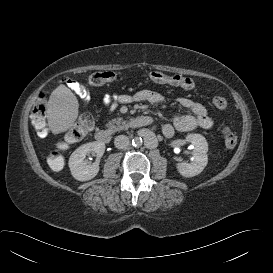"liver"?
<instances>
[{
  "label": "liver",
  "mask_w": 273,
  "mask_h": 273,
  "mask_svg": "<svg viewBox=\"0 0 273 273\" xmlns=\"http://www.w3.org/2000/svg\"><path fill=\"white\" fill-rule=\"evenodd\" d=\"M79 103L76 96L65 86H58L50 95L47 121L53 134L70 129L78 117Z\"/></svg>",
  "instance_id": "liver-1"
}]
</instances>
